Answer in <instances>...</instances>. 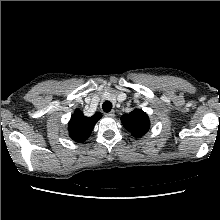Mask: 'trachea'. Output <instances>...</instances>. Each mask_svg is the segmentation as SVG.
<instances>
[{
    "label": "trachea",
    "instance_id": "obj_1",
    "mask_svg": "<svg viewBox=\"0 0 220 220\" xmlns=\"http://www.w3.org/2000/svg\"><path fill=\"white\" fill-rule=\"evenodd\" d=\"M102 109L104 112H110L112 109V103L110 101H105L102 105Z\"/></svg>",
    "mask_w": 220,
    "mask_h": 220
}]
</instances>
